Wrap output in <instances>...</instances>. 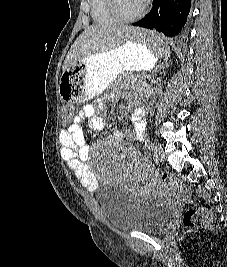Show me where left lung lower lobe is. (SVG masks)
<instances>
[{"label":"left lung lower lobe","instance_id":"left-lung-lower-lobe-1","mask_svg":"<svg viewBox=\"0 0 227 267\" xmlns=\"http://www.w3.org/2000/svg\"><path fill=\"white\" fill-rule=\"evenodd\" d=\"M191 0H153L151 11L142 20L132 24L157 30L168 37H179L183 34ZM161 35L164 42L166 38Z\"/></svg>","mask_w":227,"mask_h":267}]
</instances>
